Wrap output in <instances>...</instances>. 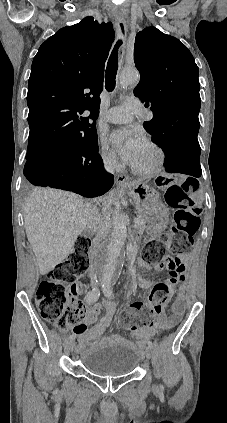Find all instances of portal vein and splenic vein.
I'll return each mask as SVG.
<instances>
[{"label": "portal vein and splenic vein", "mask_w": 227, "mask_h": 423, "mask_svg": "<svg viewBox=\"0 0 227 423\" xmlns=\"http://www.w3.org/2000/svg\"><path fill=\"white\" fill-rule=\"evenodd\" d=\"M138 221H139L138 217H135L134 223H138Z\"/></svg>", "instance_id": "portal-vein-and-splenic-vein-1"}]
</instances>
